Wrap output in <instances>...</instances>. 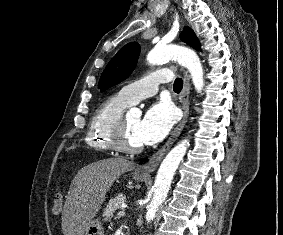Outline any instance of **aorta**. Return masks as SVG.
<instances>
[{"instance_id": "1", "label": "aorta", "mask_w": 283, "mask_h": 235, "mask_svg": "<svg viewBox=\"0 0 283 235\" xmlns=\"http://www.w3.org/2000/svg\"><path fill=\"white\" fill-rule=\"evenodd\" d=\"M171 59L177 60L179 64L188 69L194 87L196 91L200 93L204 86L203 68L199 57L193 50L178 45H159L152 49L147 55V61L151 65L160 64L161 62ZM130 113L136 115L141 114L140 110L137 108L131 109ZM188 146L189 140H182L162 161L153 185V197L147 208L146 220L148 222L155 218L159 206L166 199L173 176Z\"/></svg>"}]
</instances>
